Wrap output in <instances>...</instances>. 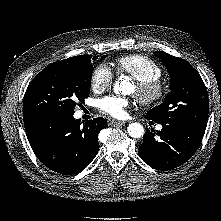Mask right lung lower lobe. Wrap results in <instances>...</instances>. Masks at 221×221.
<instances>
[{
  "label": "right lung lower lobe",
  "instance_id": "right-lung-lower-lobe-1",
  "mask_svg": "<svg viewBox=\"0 0 221 221\" xmlns=\"http://www.w3.org/2000/svg\"><path fill=\"white\" fill-rule=\"evenodd\" d=\"M26 135L38 159L49 169L65 175L81 172L96 156L98 134L107 126L98 117L81 126L73 114L26 112Z\"/></svg>",
  "mask_w": 221,
  "mask_h": 221
}]
</instances>
